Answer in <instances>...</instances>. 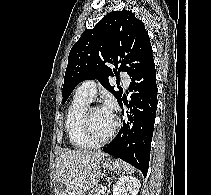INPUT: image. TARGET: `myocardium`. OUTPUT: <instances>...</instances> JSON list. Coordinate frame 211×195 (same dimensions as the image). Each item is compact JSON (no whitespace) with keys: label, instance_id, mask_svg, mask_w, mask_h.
I'll return each instance as SVG.
<instances>
[{"label":"myocardium","instance_id":"f54148a6","mask_svg":"<svg viewBox=\"0 0 211 195\" xmlns=\"http://www.w3.org/2000/svg\"><path fill=\"white\" fill-rule=\"evenodd\" d=\"M95 108H101L99 106H87L83 112L82 115V129H83V134L85 138L93 145V146H100L103 144H106L108 141H110L115 133L117 132L120 121L117 117H114V126L111 129V131L108 133L107 136H105L102 139H97L93 136L92 131H91V121H90V114L91 111Z\"/></svg>","mask_w":211,"mask_h":195}]
</instances>
